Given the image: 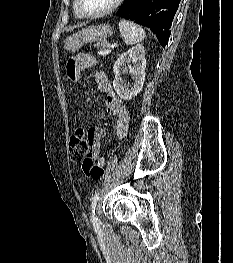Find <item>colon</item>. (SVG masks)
<instances>
[{
  "instance_id": "1",
  "label": "colon",
  "mask_w": 233,
  "mask_h": 263,
  "mask_svg": "<svg viewBox=\"0 0 233 263\" xmlns=\"http://www.w3.org/2000/svg\"><path fill=\"white\" fill-rule=\"evenodd\" d=\"M91 130L82 127L76 129L69 140L71 159L82 163L86 175L94 180H100L105 175L104 166L94 164L90 159L91 153Z\"/></svg>"
}]
</instances>
